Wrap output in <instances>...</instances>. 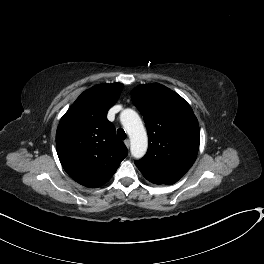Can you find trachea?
Masks as SVG:
<instances>
[{
  "label": "trachea",
  "mask_w": 264,
  "mask_h": 264,
  "mask_svg": "<svg viewBox=\"0 0 264 264\" xmlns=\"http://www.w3.org/2000/svg\"><path fill=\"white\" fill-rule=\"evenodd\" d=\"M117 135H118L119 139H121V140H124L127 137V134L125 133V131L122 128H119L117 130Z\"/></svg>",
  "instance_id": "obj_1"
}]
</instances>
